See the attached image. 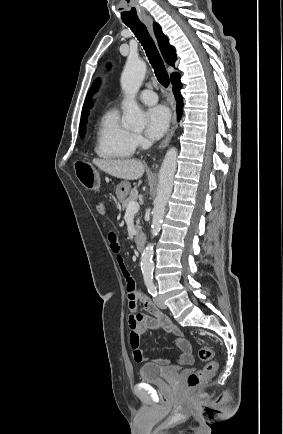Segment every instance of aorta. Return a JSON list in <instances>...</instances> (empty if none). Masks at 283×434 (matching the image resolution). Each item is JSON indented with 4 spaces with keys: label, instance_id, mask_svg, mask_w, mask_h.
<instances>
[{
    "label": "aorta",
    "instance_id": "762f6f07",
    "mask_svg": "<svg viewBox=\"0 0 283 434\" xmlns=\"http://www.w3.org/2000/svg\"><path fill=\"white\" fill-rule=\"evenodd\" d=\"M146 63L138 58H128L121 75V87L126 95L123 105L124 117L122 124L125 128L140 131L145 125V114L139 108L135 96L139 91L146 74ZM177 150L170 148L165 155L159 171V183L157 196L152 211L151 224L152 238L157 236L161 230L165 208L172 193L173 180L176 172ZM153 245L147 244L141 256V269L144 277H151L153 274Z\"/></svg>",
    "mask_w": 283,
    "mask_h": 434
}]
</instances>
